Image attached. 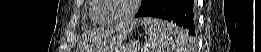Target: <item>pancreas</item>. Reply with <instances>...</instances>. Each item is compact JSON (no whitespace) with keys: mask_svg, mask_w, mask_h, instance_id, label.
<instances>
[{"mask_svg":"<svg viewBox=\"0 0 261 52\" xmlns=\"http://www.w3.org/2000/svg\"><path fill=\"white\" fill-rule=\"evenodd\" d=\"M124 51L126 52H132L133 50L129 49V48H125Z\"/></svg>","mask_w":261,"mask_h":52,"instance_id":"cf45deb5","label":"pancreas"}]
</instances>
